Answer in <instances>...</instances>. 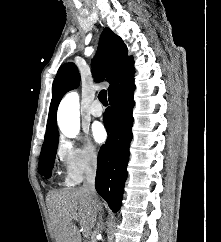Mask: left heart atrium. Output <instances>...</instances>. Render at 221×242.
Listing matches in <instances>:
<instances>
[{"instance_id": "1", "label": "left heart atrium", "mask_w": 221, "mask_h": 242, "mask_svg": "<svg viewBox=\"0 0 221 242\" xmlns=\"http://www.w3.org/2000/svg\"><path fill=\"white\" fill-rule=\"evenodd\" d=\"M93 136L95 138V140L99 143H102L105 141L106 137H107V133H106V130L105 128L103 127L102 124H96L94 127H93Z\"/></svg>"}]
</instances>
